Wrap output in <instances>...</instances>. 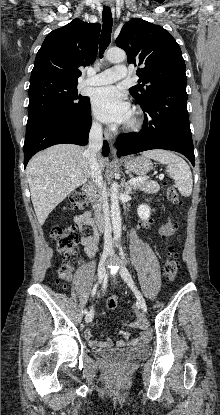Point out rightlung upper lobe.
<instances>
[{"mask_svg":"<svg viewBox=\"0 0 220 415\" xmlns=\"http://www.w3.org/2000/svg\"><path fill=\"white\" fill-rule=\"evenodd\" d=\"M100 28L98 23L76 18L50 32L36 55L30 80L48 77L78 82L79 67L96 58Z\"/></svg>","mask_w":220,"mask_h":415,"instance_id":"cb5924a9","label":"right lung upper lobe"}]
</instances>
